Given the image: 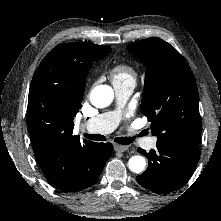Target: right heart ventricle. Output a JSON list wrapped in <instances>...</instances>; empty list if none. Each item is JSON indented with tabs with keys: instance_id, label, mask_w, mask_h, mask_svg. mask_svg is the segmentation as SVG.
Returning <instances> with one entry per match:
<instances>
[{
	"instance_id": "e07e8e85",
	"label": "right heart ventricle",
	"mask_w": 221,
	"mask_h": 221,
	"mask_svg": "<svg viewBox=\"0 0 221 221\" xmlns=\"http://www.w3.org/2000/svg\"><path fill=\"white\" fill-rule=\"evenodd\" d=\"M136 69L133 65L121 62L116 64L110 70V77L114 85L117 84H134L136 80Z\"/></svg>"
}]
</instances>
